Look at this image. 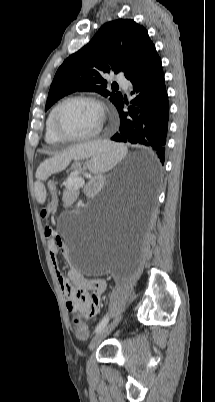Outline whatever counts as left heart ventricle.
<instances>
[{"instance_id":"1","label":"left heart ventricle","mask_w":215,"mask_h":402,"mask_svg":"<svg viewBox=\"0 0 215 402\" xmlns=\"http://www.w3.org/2000/svg\"><path fill=\"white\" fill-rule=\"evenodd\" d=\"M102 121L100 108L87 101H71L65 104L58 115L61 129L75 136L94 132Z\"/></svg>"}]
</instances>
